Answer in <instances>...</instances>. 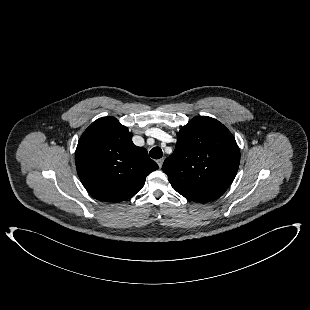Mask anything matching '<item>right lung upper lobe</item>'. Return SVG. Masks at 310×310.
<instances>
[{
    "label": "right lung upper lobe",
    "mask_w": 310,
    "mask_h": 310,
    "mask_svg": "<svg viewBox=\"0 0 310 310\" xmlns=\"http://www.w3.org/2000/svg\"><path fill=\"white\" fill-rule=\"evenodd\" d=\"M75 163L86 190L100 201L121 202L135 195L158 165L132 133L113 117L94 121L79 139Z\"/></svg>",
    "instance_id": "cb5924a9"
}]
</instances>
